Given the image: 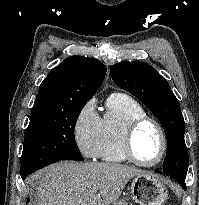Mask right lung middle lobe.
Returning a JSON list of instances; mask_svg holds the SVG:
<instances>
[{
    "mask_svg": "<svg viewBox=\"0 0 199 205\" xmlns=\"http://www.w3.org/2000/svg\"><path fill=\"white\" fill-rule=\"evenodd\" d=\"M88 100L31 112L21 157V175L60 160L83 161L74 136L76 120Z\"/></svg>",
    "mask_w": 199,
    "mask_h": 205,
    "instance_id": "obj_1",
    "label": "right lung middle lobe"
}]
</instances>
